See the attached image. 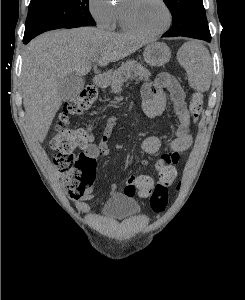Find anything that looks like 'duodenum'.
Here are the masks:
<instances>
[{"label":"duodenum","mask_w":245,"mask_h":300,"mask_svg":"<svg viewBox=\"0 0 245 300\" xmlns=\"http://www.w3.org/2000/svg\"><path fill=\"white\" fill-rule=\"evenodd\" d=\"M93 82L97 87L103 88L107 85V76L103 73L96 74L93 78Z\"/></svg>","instance_id":"410a0bca"}]
</instances>
